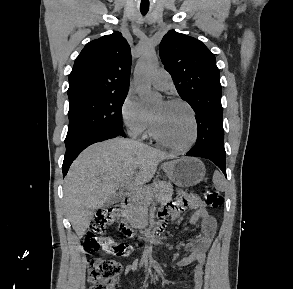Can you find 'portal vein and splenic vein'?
Wrapping results in <instances>:
<instances>
[{"instance_id": "18ae733b", "label": "portal vein and splenic vein", "mask_w": 293, "mask_h": 289, "mask_svg": "<svg viewBox=\"0 0 293 289\" xmlns=\"http://www.w3.org/2000/svg\"><path fill=\"white\" fill-rule=\"evenodd\" d=\"M129 190H131V192L133 194H138V193H142L144 192L145 189L140 188L138 186H134L133 184H131L129 181L124 182V184Z\"/></svg>"}]
</instances>
